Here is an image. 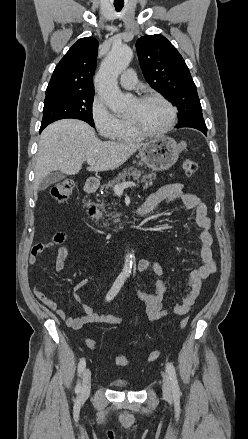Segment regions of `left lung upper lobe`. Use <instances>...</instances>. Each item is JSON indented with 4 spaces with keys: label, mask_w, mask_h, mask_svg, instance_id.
Instances as JSON below:
<instances>
[{
    "label": "left lung upper lobe",
    "mask_w": 248,
    "mask_h": 439,
    "mask_svg": "<svg viewBox=\"0 0 248 439\" xmlns=\"http://www.w3.org/2000/svg\"><path fill=\"white\" fill-rule=\"evenodd\" d=\"M146 81L179 111L180 127L207 128L189 69L176 48L160 34L146 35L136 42Z\"/></svg>",
    "instance_id": "5c2ea615"
}]
</instances>
